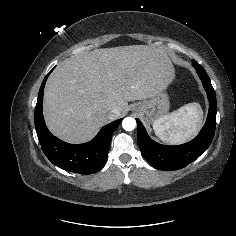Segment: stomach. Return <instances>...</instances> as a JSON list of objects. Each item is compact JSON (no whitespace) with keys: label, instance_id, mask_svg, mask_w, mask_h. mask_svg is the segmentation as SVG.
Here are the masks:
<instances>
[{"label":"stomach","instance_id":"stomach-1","mask_svg":"<svg viewBox=\"0 0 236 236\" xmlns=\"http://www.w3.org/2000/svg\"><path fill=\"white\" fill-rule=\"evenodd\" d=\"M170 108L169 96L166 93V88L160 91L155 96L135 103L132 110L136 113L145 116L148 123H152L158 118L164 116Z\"/></svg>","mask_w":236,"mask_h":236}]
</instances>
